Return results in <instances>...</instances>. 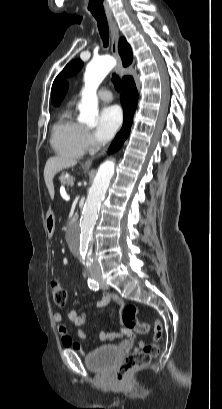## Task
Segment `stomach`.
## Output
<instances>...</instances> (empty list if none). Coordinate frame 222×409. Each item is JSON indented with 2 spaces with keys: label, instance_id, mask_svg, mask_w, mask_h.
Instances as JSON below:
<instances>
[{
  "label": "stomach",
  "instance_id": "stomach-1",
  "mask_svg": "<svg viewBox=\"0 0 222 409\" xmlns=\"http://www.w3.org/2000/svg\"><path fill=\"white\" fill-rule=\"evenodd\" d=\"M45 229L48 234H52L55 230V217L52 212H48L46 216Z\"/></svg>",
  "mask_w": 222,
  "mask_h": 409
}]
</instances>
